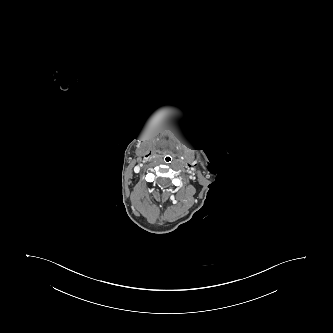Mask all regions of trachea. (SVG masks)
<instances>
[{"label": "trachea", "instance_id": "1", "mask_svg": "<svg viewBox=\"0 0 333 333\" xmlns=\"http://www.w3.org/2000/svg\"><path fill=\"white\" fill-rule=\"evenodd\" d=\"M161 162L164 166L166 167H171L175 163V158L172 154L170 153H165L161 157Z\"/></svg>", "mask_w": 333, "mask_h": 333}]
</instances>
